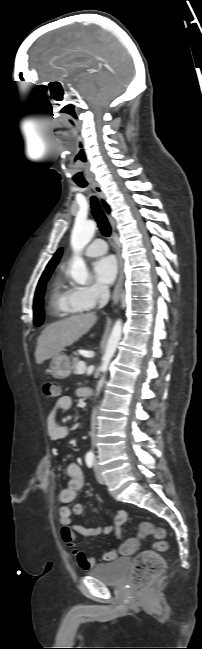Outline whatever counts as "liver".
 I'll return each mask as SVG.
<instances>
[{"label": "liver", "instance_id": "liver-1", "mask_svg": "<svg viewBox=\"0 0 202 649\" xmlns=\"http://www.w3.org/2000/svg\"><path fill=\"white\" fill-rule=\"evenodd\" d=\"M96 322L95 313L74 315L48 325L38 337L35 350L37 364L53 358L86 334Z\"/></svg>", "mask_w": 202, "mask_h": 649}]
</instances>
